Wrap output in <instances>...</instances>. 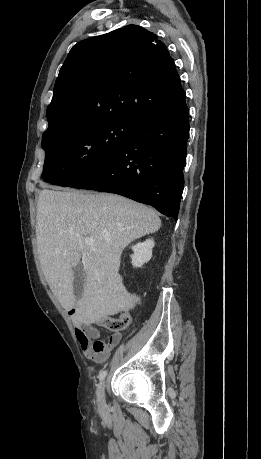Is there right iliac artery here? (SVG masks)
Wrapping results in <instances>:
<instances>
[{"mask_svg": "<svg viewBox=\"0 0 261 459\" xmlns=\"http://www.w3.org/2000/svg\"><path fill=\"white\" fill-rule=\"evenodd\" d=\"M107 375V371L103 370L99 373V380L102 381Z\"/></svg>", "mask_w": 261, "mask_h": 459, "instance_id": "1", "label": "right iliac artery"}]
</instances>
